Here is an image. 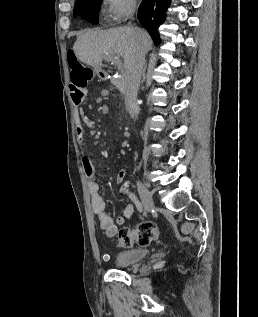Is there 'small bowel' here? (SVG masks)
<instances>
[{
    "label": "small bowel",
    "mask_w": 258,
    "mask_h": 317,
    "mask_svg": "<svg viewBox=\"0 0 258 317\" xmlns=\"http://www.w3.org/2000/svg\"><path fill=\"white\" fill-rule=\"evenodd\" d=\"M87 119L84 114H78L75 119V131L77 139L81 145L84 144L85 126ZM82 166L88 180V189L91 196L92 210L98 220L100 227L104 230L106 236L113 237L117 233V226L123 225L135 213V207L132 203L124 205L122 214L115 219L110 215L106 202L103 198L100 185L97 181L96 171L92 160L88 156H83ZM126 177V170L121 169L116 175V182L121 183ZM122 193L127 194L129 190L128 183L122 186Z\"/></svg>",
    "instance_id": "obj_1"
}]
</instances>
